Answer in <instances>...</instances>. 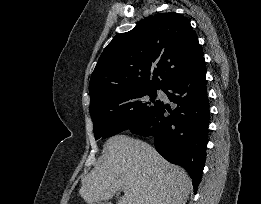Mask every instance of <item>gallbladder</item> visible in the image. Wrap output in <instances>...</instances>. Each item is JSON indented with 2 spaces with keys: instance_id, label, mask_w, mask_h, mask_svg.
Instances as JSON below:
<instances>
[{
  "instance_id": "1",
  "label": "gallbladder",
  "mask_w": 261,
  "mask_h": 204,
  "mask_svg": "<svg viewBox=\"0 0 261 204\" xmlns=\"http://www.w3.org/2000/svg\"><path fill=\"white\" fill-rule=\"evenodd\" d=\"M94 204H111V203H109L108 201H99Z\"/></svg>"
}]
</instances>
